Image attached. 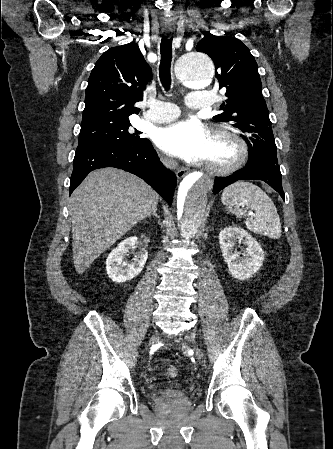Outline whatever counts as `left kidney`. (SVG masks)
<instances>
[{
  "mask_svg": "<svg viewBox=\"0 0 333 449\" xmlns=\"http://www.w3.org/2000/svg\"><path fill=\"white\" fill-rule=\"evenodd\" d=\"M220 248L232 277L245 280L250 278L262 265L264 252L259 243L245 230L228 226L219 234ZM246 246L245 256L240 257L235 246Z\"/></svg>",
  "mask_w": 333,
  "mask_h": 449,
  "instance_id": "5707ae66",
  "label": "left kidney"
}]
</instances>
